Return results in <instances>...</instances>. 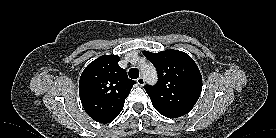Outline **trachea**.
<instances>
[{
  "label": "trachea",
  "mask_w": 276,
  "mask_h": 138,
  "mask_svg": "<svg viewBox=\"0 0 276 138\" xmlns=\"http://www.w3.org/2000/svg\"><path fill=\"white\" fill-rule=\"evenodd\" d=\"M128 74L131 79H137L139 77V70L137 68H131Z\"/></svg>",
  "instance_id": "trachea-1"
}]
</instances>
